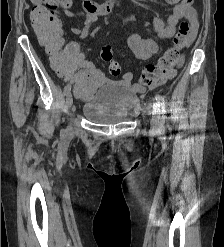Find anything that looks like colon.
Segmentation results:
<instances>
[{"label": "colon", "instance_id": "colon-1", "mask_svg": "<svg viewBox=\"0 0 224 247\" xmlns=\"http://www.w3.org/2000/svg\"><path fill=\"white\" fill-rule=\"evenodd\" d=\"M71 0H47L45 5L34 7L31 12L33 29L40 40L50 51L57 53L54 65L58 73L70 81L80 97L91 95L99 85V79L93 71L82 67L81 52L76 44L67 46L62 52L61 22L57 17L58 8H67ZM190 24L182 22L174 38L173 45L168 48L156 64L145 67L140 84L150 85L160 77L173 70L180 59L184 47L188 43ZM101 59L109 63V72L113 76L121 74L119 62L113 60V52L110 46L101 49Z\"/></svg>", "mask_w": 224, "mask_h": 247}]
</instances>
